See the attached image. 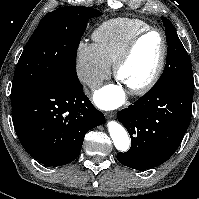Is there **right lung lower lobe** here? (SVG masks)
Returning <instances> with one entry per match:
<instances>
[{
	"mask_svg": "<svg viewBox=\"0 0 199 199\" xmlns=\"http://www.w3.org/2000/svg\"><path fill=\"white\" fill-rule=\"evenodd\" d=\"M12 120L23 148L47 166L75 160L85 134L105 122L82 84L62 80L45 82L11 101Z\"/></svg>",
	"mask_w": 199,
	"mask_h": 199,
	"instance_id": "right-lung-lower-lobe-1",
	"label": "right lung lower lobe"
}]
</instances>
